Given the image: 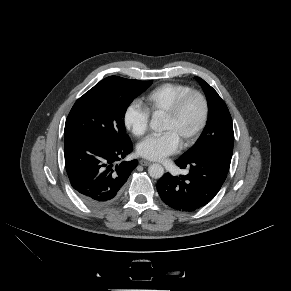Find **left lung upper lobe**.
<instances>
[{
	"instance_id": "left-lung-upper-lobe-1",
	"label": "left lung upper lobe",
	"mask_w": 291,
	"mask_h": 291,
	"mask_svg": "<svg viewBox=\"0 0 291 291\" xmlns=\"http://www.w3.org/2000/svg\"><path fill=\"white\" fill-rule=\"evenodd\" d=\"M208 101V122L197 142L180 159L207 154L232 157L234 132L229 110L218 95L203 79L196 77Z\"/></svg>"
}]
</instances>
